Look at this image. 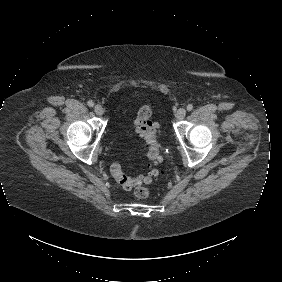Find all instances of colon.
<instances>
[{"instance_id":"1","label":"colon","mask_w":282,"mask_h":282,"mask_svg":"<svg viewBox=\"0 0 282 282\" xmlns=\"http://www.w3.org/2000/svg\"><path fill=\"white\" fill-rule=\"evenodd\" d=\"M152 114L153 109L151 106L144 105L141 107L138 128L147 145L145 155L149 161V169L146 173L141 174L140 177H131L124 173L123 166L116 159H112L110 163L111 175L119 185L127 190H131L139 182L148 183L159 175L157 165L162 160V149L157 135V128L152 121ZM133 195L137 199H146L150 195V190L148 187H140L133 192Z\"/></svg>"}]
</instances>
